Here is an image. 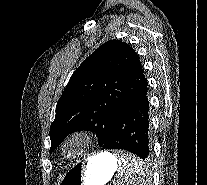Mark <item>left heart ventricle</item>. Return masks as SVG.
<instances>
[{"mask_svg":"<svg viewBox=\"0 0 207 185\" xmlns=\"http://www.w3.org/2000/svg\"><path fill=\"white\" fill-rule=\"evenodd\" d=\"M77 147H78V145L76 143H70V144H68L66 146V148H65L66 154L67 155L73 154L76 151Z\"/></svg>","mask_w":207,"mask_h":185,"instance_id":"b2bd125f","label":"left heart ventricle"}]
</instances>
